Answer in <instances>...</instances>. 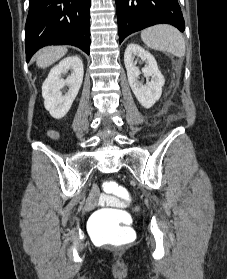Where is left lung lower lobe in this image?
<instances>
[{"mask_svg": "<svg viewBox=\"0 0 227 279\" xmlns=\"http://www.w3.org/2000/svg\"><path fill=\"white\" fill-rule=\"evenodd\" d=\"M119 43L146 27L167 23L185 29L178 0H116Z\"/></svg>", "mask_w": 227, "mask_h": 279, "instance_id": "obj_1", "label": "left lung lower lobe"}]
</instances>
